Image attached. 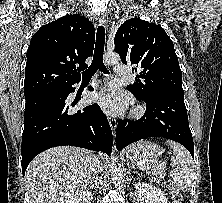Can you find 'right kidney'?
Instances as JSON below:
<instances>
[{"label":"right kidney","mask_w":222,"mask_h":203,"mask_svg":"<svg viewBox=\"0 0 222 203\" xmlns=\"http://www.w3.org/2000/svg\"><path fill=\"white\" fill-rule=\"evenodd\" d=\"M92 194L89 191H83L80 194L71 197L66 203H91Z\"/></svg>","instance_id":"ca27d5eb"}]
</instances>
